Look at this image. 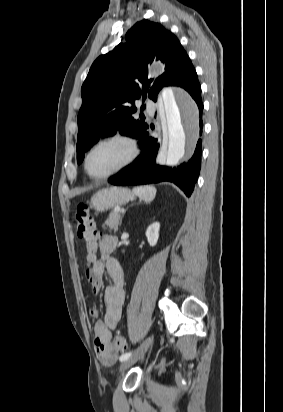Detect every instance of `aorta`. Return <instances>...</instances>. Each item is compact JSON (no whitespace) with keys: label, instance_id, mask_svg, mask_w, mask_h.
Masks as SVG:
<instances>
[{"label":"aorta","instance_id":"obj_1","mask_svg":"<svg viewBox=\"0 0 283 412\" xmlns=\"http://www.w3.org/2000/svg\"><path fill=\"white\" fill-rule=\"evenodd\" d=\"M161 96L166 118V164L174 166L197 137L198 108L184 91L176 94L171 88H165Z\"/></svg>","mask_w":283,"mask_h":412}]
</instances>
